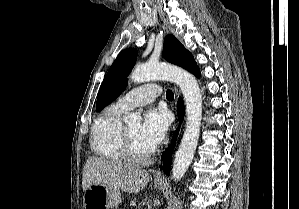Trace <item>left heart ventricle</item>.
Here are the masks:
<instances>
[{"label": "left heart ventricle", "instance_id": "1", "mask_svg": "<svg viewBox=\"0 0 299 209\" xmlns=\"http://www.w3.org/2000/svg\"><path fill=\"white\" fill-rule=\"evenodd\" d=\"M140 125H135L126 128L129 135L132 151L136 157H143L149 154L152 150L140 138Z\"/></svg>", "mask_w": 299, "mask_h": 209}]
</instances>
